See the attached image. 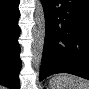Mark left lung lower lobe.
I'll return each mask as SVG.
<instances>
[{"instance_id": "0a47b994", "label": "left lung lower lobe", "mask_w": 89, "mask_h": 89, "mask_svg": "<svg viewBox=\"0 0 89 89\" xmlns=\"http://www.w3.org/2000/svg\"><path fill=\"white\" fill-rule=\"evenodd\" d=\"M45 42L39 80L56 73L89 79V0H41Z\"/></svg>"}]
</instances>
